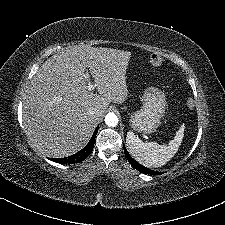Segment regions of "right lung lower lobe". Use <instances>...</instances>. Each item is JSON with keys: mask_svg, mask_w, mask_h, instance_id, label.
I'll use <instances>...</instances> for the list:
<instances>
[{"mask_svg": "<svg viewBox=\"0 0 225 225\" xmlns=\"http://www.w3.org/2000/svg\"><path fill=\"white\" fill-rule=\"evenodd\" d=\"M97 131H98V127L94 131L88 144L82 150H80L79 152H77L76 154H74L72 156L60 158V159H54V161L57 163H60V164H67V163L74 164V163H79V162L83 161L85 158H87L89 156V154L93 150L95 136L97 134Z\"/></svg>", "mask_w": 225, "mask_h": 225, "instance_id": "right-lung-lower-lobe-1", "label": "right lung lower lobe"}]
</instances>
